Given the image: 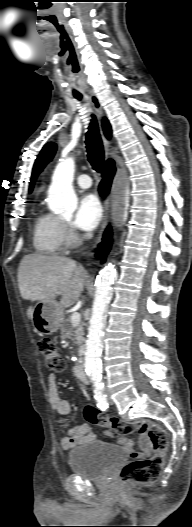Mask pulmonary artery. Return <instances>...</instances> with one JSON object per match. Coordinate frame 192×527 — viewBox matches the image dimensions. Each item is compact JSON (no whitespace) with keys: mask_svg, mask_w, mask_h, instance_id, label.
I'll use <instances>...</instances> for the list:
<instances>
[{"mask_svg":"<svg viewBox=\"0 0 192 527\" xmlns=\"http://www.w3.org/2000/svg\"><path fill=\"white\" fill-rule=\"evenodd\" d=\"M77 183L81 188L87 189L92 186V179L87 174H81L77 177Z\"/></svg>","mask_w":192,"mask_h":527,"instance_id":"obj_1","label":"pulmonary artery"}]
</instances>
